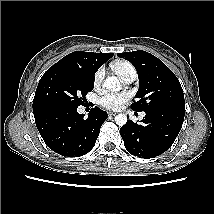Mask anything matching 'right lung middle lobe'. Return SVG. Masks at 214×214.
<instances>
[{
	"instance_id": "dd1d6c3e",
	"label": "right lung middle lobe",
	"mask_w": 214,
	"mask_h": 214,
	"mask_svg": "<svg viewBox=\"0 0 214 214\" xmlns=\"http://www.w3.org/2000/svg\"><path fill=\"white\" fill-rule=\"evenodd\" d=\"M94 87V74L79 68L52 66L42 76L33 99V113L59 106L78 107Z\"/></svg>"
}]
</instances>
